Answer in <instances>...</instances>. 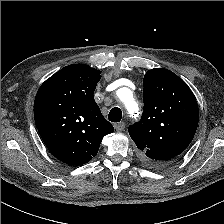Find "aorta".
Instances as JSON below:
<instances>
[{
  "mask_svg": "<svg viewBox=\"0 0 224 224\" xmlns=\"http://www.w3.org/2000/svg\"><path fill=\"white\" fill-rule=\"evenodd\" d=\"M121 99L124 101L127 110L130 114H133L134 117L138 115V105L133 99L132 92L128 88L122 89Z\"/></svg>",
  "mask_w": 224,
  "mask_h": 224,
  "instance_id": "aorta-1",
  "label": "aorta"
}]
</instances>
